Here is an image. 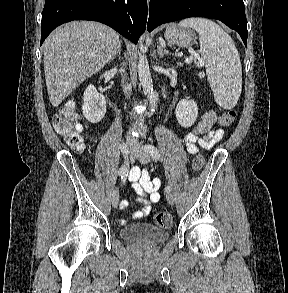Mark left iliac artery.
<instances>
[{
	"label": "left iliac artery",
	"instance_id": "1",
	"mask_svg": "<svg viewBox=\"0 0 288 293\" xmlns=\"http://www.w3.org/2000/svg\"><path fill=\"white\" fill-rule=\"evenodd\" d=\"M143 149L145 152L149 153L154 160H158L160 158L159 150L154 145L147 144L143 147ZM165 191L169 193L171 191L170 186L167 185L165 187Z\"/></svg>",
	"mask_w": 288,
	"mask_h": 293
}]
</instances>
